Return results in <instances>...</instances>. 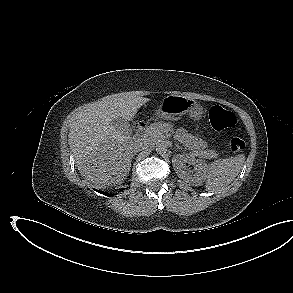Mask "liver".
I'll return each mask as SVG.
<instances>
[{
	"label": "liver",
	"mask_w": 293,
	"mask_h": 293,
	"mask_svg": "<svg viewBox=\"0 0 293 293\" xmlns=\"http://www.w3.org/2000/svg\"><path fill=\"white\" fill-rule=\"evenodd\" d=\"M148 101L130 92L118 93L73 114L68 144L82 176L101 187L124 181L130 171L134 141L111 122L115 118L132 120Z\"/></svg>",
	"instance_id": "6515ba94"
}]
</instances>
